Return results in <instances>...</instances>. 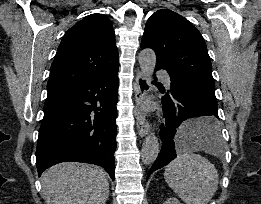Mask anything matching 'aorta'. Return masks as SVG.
I'll list each match as a JSON object with an SVG mask.
<instances>
[{"label":"aorta","instance_id":"obj_1","mask_svg":"<svg viewBox=\"0 0 261 204\" xmlns=\"http://www.w3.org/2000/svg\"><path fill=\"white\" fill-rule=\"evenodd\" d=\"M139 65L142 73L150 77L156 66V55L152 49H143L138 56ZM160 151L158 138L154 133H150L142 145L141 158L144 164H152Z\"/></svg>","mask_w":261,"mask_h":204}]
</instances>
